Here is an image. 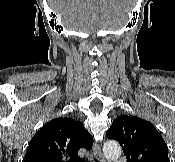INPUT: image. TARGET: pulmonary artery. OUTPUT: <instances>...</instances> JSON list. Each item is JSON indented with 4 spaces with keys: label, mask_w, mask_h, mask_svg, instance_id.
Wrapping results in <instances>:
<instances>
[{
    "label": "pulmonary artery",
    "mask_w": 175,
    "mask_h": 162,
    "mask_svg": "<svg viewBox=\"0 0 175 162\" xmlns=\"http://www.w3.org/2000/svg\"><path fill=\"white\" fill-rule=\"evenodd\" d=\"M115 162H125V161L122 159H118V160H115Z\"/></svg>",
    "instance_id": "obj_1"
}]
</instances>
